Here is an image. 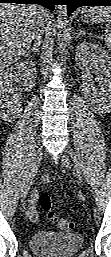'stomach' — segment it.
I'll list each match as a JSON object with an SVG mask.
<instances>
[{
  "instance_id": "obj_1",
  "label": "stomach",
  "mask_w": 111,
  "mask_h": 257,
  "mask_svg": "<svg viewBox=\"0 0 111 257\" xmlns=\"http://www.w3.org/2000/svg\"><path fill=\"white\" fill-rule=\"evenodd\" d=\"M81 19L85 22H91V23H100L104 21L103 16H93L91 8L90 9H84L81 15Z\"/></svg>"
}]
</instances>
